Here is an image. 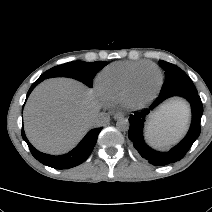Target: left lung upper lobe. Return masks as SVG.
Segmentation results:
<instances>
[{"instance_id": "obj_1", "label": "left lung upper lobe", "mask_w": 212, "mask_h": 212, "mask_svg": "<svg viewBox=\"0 0 212 212\" xmlns=\"http://www.w3.org/2000/svg\"><path fill=\"white\" fill-rule=\"evenodd\" d=\"M161 67L165 70L166 79L161 88L160 95L176 91L197 92L192 80L186 73L174 64L159 61Z\"/></svg>"}]
</instances>
